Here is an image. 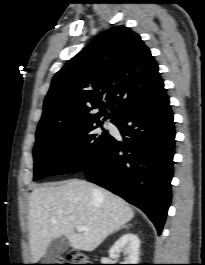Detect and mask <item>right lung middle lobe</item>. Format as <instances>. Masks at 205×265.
<instances>
[{
    "mask_svg": "<svg viewBox=\"0 0 205 265\" xmlns=\"http://www.w3.org/2000/svg\"><path fill=\"white\" fill-rule=\"evenodd\" d=\"M93 120L36 132L34 180L83 170L105 147L111 136Z\"/></svg>",
    "mask_w": 205,
    "mask_h": 265,
    "instance_id": "right-lung-middle-lobe-1",
    "label": "right lung middle lobe"
}]
</instances>
